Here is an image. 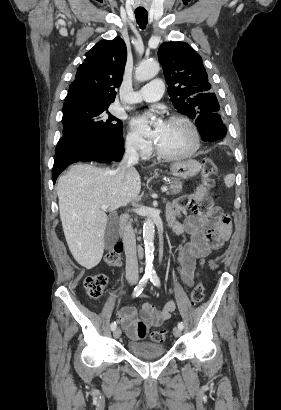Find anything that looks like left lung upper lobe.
<instances>
[{
  "mask_svg": "<svg viewBox=\"0 0 281 410\" xmlns=\"http://www.w3.org/2000/svg\"><path fill=\"white\" fill-rule=\"evenodd\" d=\"M170 101L191 119L217 113L219 103L204 69L201 56L185 42H165L158 50Z\"/></svg>",
  "mask_w": 281,
  "mask_h": 410,
  "instance_id": "obj_1",
  "label": "left lung upper lobe"
}]
</instances>
